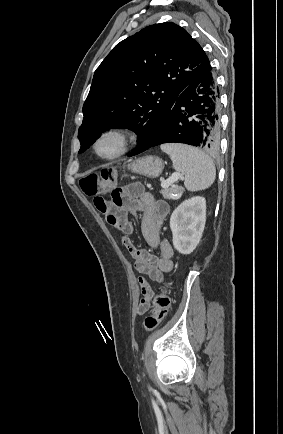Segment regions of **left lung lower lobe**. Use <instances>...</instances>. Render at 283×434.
Listing matches in <instances>:
<instances>
[{
  "instance_id": "obj_1",
  "label": "left lung lower lobe",
  "mask_w": 283,
  "mask_h": 434,
  "mask_svg": "<svg viewBox=\"0 0 283 434\" xmlns=\"http://www.w3.org/2000/svg\"><path fill=\"white\" fill-rule=\"evenodd\" d=\"M219 134V90L211 67L180 93L154 141L129 156L164 143H185L216 151Z\"/></svg>"
}]
</instances>
